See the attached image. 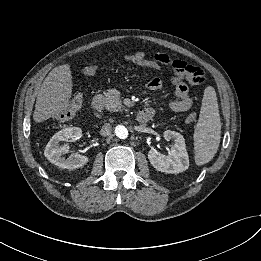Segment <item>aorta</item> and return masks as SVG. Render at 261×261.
I'll list each match as a JSON object with an SVG mask.
<instances>
[{
  "instance_id": "aorta-1",
  "label": "aorta",
  "mask_w": 261,
  "mask_h": 261,
  "mask_svg": "<svg viewBox=\"0 0 261 261\" xmlns=\"http://www.w3.org/2000/svg\"><path fill=\"white\" fill-rule=\"evenodd\" d=\"M115 134L120 139H126L128 137V130L124 125H117L115 127Z\"/></svg>"
}]
</instances>
